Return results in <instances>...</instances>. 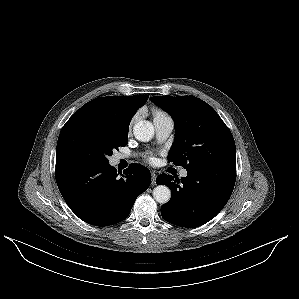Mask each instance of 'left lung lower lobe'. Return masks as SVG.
<instances>
[{
	"label": "left lung lower lobe",
	"instance_id": "obj_1",
	"mask_svg": "<svg viewBox=\"0 0 299 299\" xmlns=\"http://www.w3.org/2000/svg\"><path fill=\"white\" fill-rule=\"evenodd\" d=\"M187 172L181 180L161 174L156 183L172 192L161 207L162 217L177 226L195 228L213 219L228 202L236 180V160L205 162Z\"/></svg>",
	"mask_w": 299,
	"mask_h": 299
}]
</instances>
